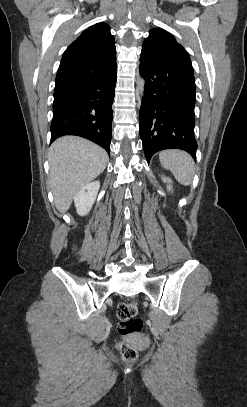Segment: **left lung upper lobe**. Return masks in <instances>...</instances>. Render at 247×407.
<instances>
[{
  "label": "left lung upper lobe",
  "mask_w": 247,
  "mask_h": 407,
  "mask_svg": "<svg viewBox=\"0 0 247 407\" xmlns=\"http://www.w3.org/2000/svg\"><path fill=\"white\" fill-rule=\"evenodd\" d=\"M141 55L162 66L186 70L193 73L187 51L167 31L153 28L142 45Z\"/></svg>",
  "instance_id": "5c2ea615"
}]
</instances>
